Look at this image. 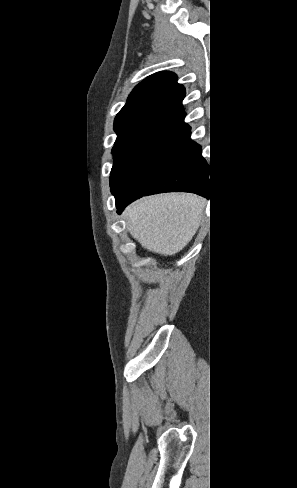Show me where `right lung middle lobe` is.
Masks as SVG:
<instances>
[{"label":"right lung middle lobe","mask_w":297,"mask_h":488,"mask_svg":"<svg viewBox=\"0 0 297 488\" xmlns=\"http://www.w3.org/2000/svg\"><path fill=\"white\" fill-rule=\"evenodd\" d=\"M176 132L142 131L119 135L112 150L110 186L115 198L125 196L150 162Z\"/></svg>","instance_id":"1"}]
</instances>
